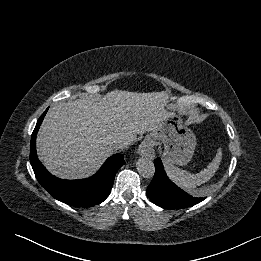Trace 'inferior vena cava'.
Listing matches in <instances>:
<instances>
[{
    "label": "inferior vena cava",
    "mask_w": 261,
    "mask_h": 261,
    "mask_svg": "<svg viewBox=\"0 0 261 261\" xmlns=\"http://www.w3.org/2000/svg\"><path fill=\"white\" fill-rule=\"evenodd\" d=\"M128 146V142L124 141V140H117L113 143V148L115 150H121L124 149Z\"/></svg>",
    "instance_id": "1"
}]
</instances>
